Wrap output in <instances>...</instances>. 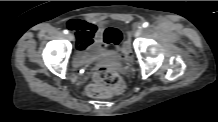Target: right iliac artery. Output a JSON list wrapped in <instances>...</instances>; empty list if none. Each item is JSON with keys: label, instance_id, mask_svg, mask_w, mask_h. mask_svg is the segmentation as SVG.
I'll return each mask as SVG.
<instances>
[{"label": "right iliac artery", "instance_id": "right-iliac-artery-1", "mask_svg": "<svg viewBox=\"0 0 218 122\" xmlns=\"http://www.w3.org/2000/svg\"><path fill=\"white\" fill-rule=\"evenodd\" d=\"M63 33H64V34H68V30H64Z\"/></svg>", "mask_w": 218, "mask_h": 122}]
</instances>
